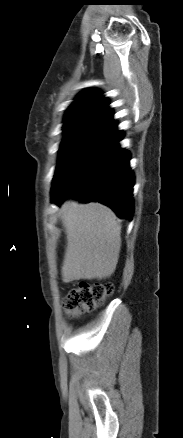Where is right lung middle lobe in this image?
<instances>
[{
    "label": "right lung middle lobe",
    "instance_id": "obj_1",
    "mask_svg": "<svg viewBox=\"0 0 183 438\" xmlns=\"http://www.w3.org/2000/svg\"><path fill=\"white\" fill-rule=\"evenodd\" d=\"M97 133L94 129H76L66 131L65 138L60 147L58 165L54 179L70 163L77 153L93 138Z\"/></svg>",
    "mask_w": 183,
    "mask_h": 438
}]
</instances>
